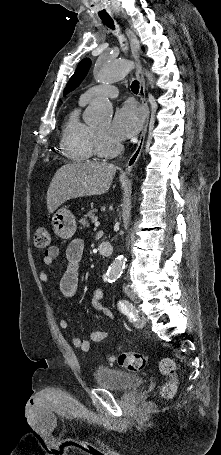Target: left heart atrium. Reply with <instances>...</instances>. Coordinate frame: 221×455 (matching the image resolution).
<instances>
[{
  "instance_id": "1",
  "label": "left heart atrium",
  "mask_w": 221,
  "mask_h": 455,
  "mask_svg": "<svg viewBox=\"0 0 221 455\" xmlns=\"http://www.w3.org/2000/svg\"><path fill=\"white\" fill-rule=\"evenodd\" d=\"M143 122L142 110L128 102L116 109L110 125V136L115 140H124L135 135Z\"/></svg>"
}]
</instances>
